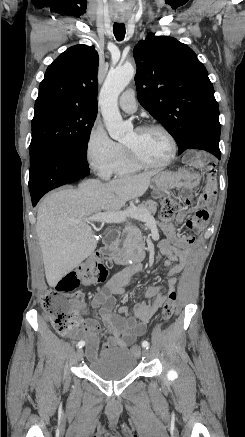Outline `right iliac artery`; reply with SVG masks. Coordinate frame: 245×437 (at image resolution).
Masks as SVG:
<instances>
[{"mask_svg":"<svg viewBox=\"0 0 245 437\" xmlns=\"http://www.w3.org/2000/svg\"><path fill=\"white\" fill-rule=\"evenodd\" d=\"M84 345H85V342H84V341H79L78 344H77V347L81 348V347H83Z\"/></svg>","mask_w":245,"mask_h":437,"instance_id":"1","label":"right iliac artery"}]
</instances>
